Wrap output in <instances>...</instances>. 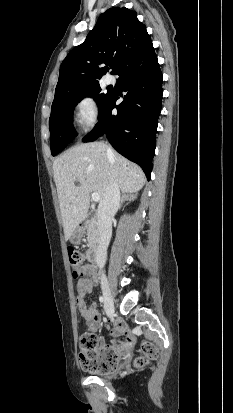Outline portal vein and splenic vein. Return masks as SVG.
Here are the masks:
<instances>
[{
  "mask_svg": "<svg viewBox=\"0 0 233 413\" xmlns=\"http://www.w3.org/2000/svg\"><path fill=\"white\" fill-rule=\"evenodd\" d=\"M91 197H92V200H93L94 202H98V201L100 200V196H99V194L96 193V192H93V193L91 194Z\"/></svg>",
  "mask_w": 233,
  "mask_h": 413,
  "instance_id": "18ae733b",
  "label": "portal vein and splenic vein"
}]
</instances>
